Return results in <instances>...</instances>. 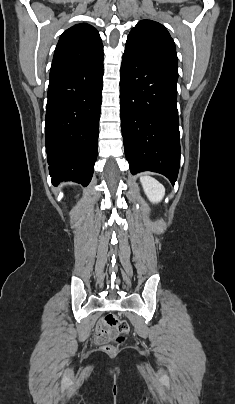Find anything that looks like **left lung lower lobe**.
<instances>
[{"instance_id": "obj_1", "label": "left lung lower lobe", "mask_w": 235, "mask_h": 404, "mask_svg": "<svg viewBox=\"0 0 235 404\" xmlns=\"http://www.w3.org/2000/svg\"><path fill=\"white\" fill-rule=\"evenodd\" d=\"M177 80V71L124 52L120 111L130 171L158 172L173 185L180 163Z\"/></svg>"}]
</instances>
